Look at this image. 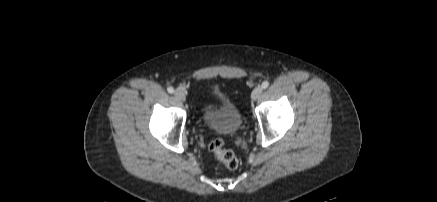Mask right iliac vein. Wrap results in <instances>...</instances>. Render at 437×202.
I'll return each mask as SVG.
<instances>
[{"label":"right iliac vein","instance_id":"1","mask_svg":"<svg viewBox=\"0 0 437 202\" xmlns=\"http://www.w3.org/2000/svg\"><path fill=\"white\" fill-rule=\"evenodd\" d=\"M174 96L177 100L184 102L186 100V93L182 90H176Z\"/></svg>","mask_w":437,"mask_h":202}]
</instances>
